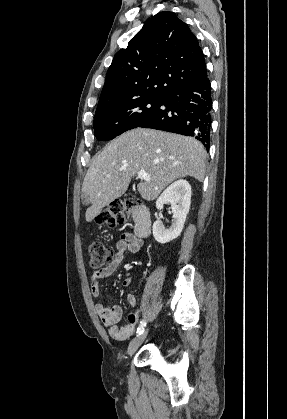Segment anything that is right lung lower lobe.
<instances>
[{
    "label": "right lung lower lobe",
    "mask_w": 287,
    "mask_h": 419,
    "mask_svg": "<svg viewBox=\"0 0 287 419\" xmlns=\"http://www.w3.org/2000/svg\"><path fill=\"white\" fill-rule=\"evenodd\" d=\"M211 111V84L206 74L163 96L156 111L138 127L192 136L209 150Z\"/></svg>",
    "instance_id": "98d812e1"
}]
</instances>
